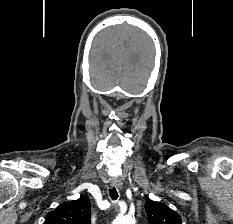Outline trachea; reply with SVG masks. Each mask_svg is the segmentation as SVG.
<instances>
[{
    "label": "trachea",
    "instance_id": "trachea-1",
    "mask_svg": "<svg viewBox=\"0 0 233 224\" xmlns=\"http://www.w3.org/2000/svg\"><path fill=\"white\" fill-rule=\"evenodd\" d=\"M109 194L112 200H116L118 198V192L115 187L109 190Z\"/></svg>",
    "mask_w": 233,
    "mask_h": 224
}]
</instances>
